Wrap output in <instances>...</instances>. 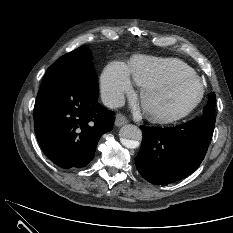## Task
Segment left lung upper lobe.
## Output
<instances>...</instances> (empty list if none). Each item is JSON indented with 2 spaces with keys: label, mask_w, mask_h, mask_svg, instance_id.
<instances>
[{
  "label": "left lung upper lobe",
  "mask_w": 233,
  "mask_h": 233,
  "mask_svg": "<svg viewBox=\"0 0 233 233\" xmlns=\"http://www.w3.org/2000/svg\"><path fill=\"white\" fill-rule=\"evenodd\" d=\"M214 114H215V93H210L209 101L204 108V113L202 117L209 120H215Z\"/></svg>",
  "instance_id": "obj_1"
}]
</instances>
